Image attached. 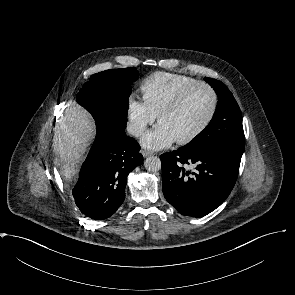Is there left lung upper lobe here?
I'll use <instances>...</instances> for the list:
<instances>
[{
    "label": "left lung upper lobe",
    "mask_w": 295,
    "mask_h": 295,
    "mask_svg": "<svg viewBox=\"0 0 295 295\" xmlns=\"http://www.w3.org/2000/svg\"><path fill=\"white\" fill-rule=\"evenodd\" d=\"M205 81L219 97L216 111L209 125L182 149L196 151L216 148L241 157L245 136L240 108L225 84L212 78H205Z\"/></svg>",
    "instance_id": "left-lung-upper-lobe-1"
}]
</instances>
